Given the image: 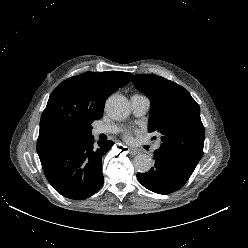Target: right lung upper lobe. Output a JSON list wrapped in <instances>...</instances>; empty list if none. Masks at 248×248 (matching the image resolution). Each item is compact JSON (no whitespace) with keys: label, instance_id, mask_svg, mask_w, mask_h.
<instances>
[{"label":"right lung upper lobe","instance_id":"cb5924a9","mask_svg":"<svg viewBox=\"0 0 248 248\" xmlns=\"http://www.w3.org/2000/svg\"><path fill=\"white\" fill-rule=\"evenodd\" d=\"M131 78V73L121 71L85 72L60 83L41 116L38 155L70 135L91 133L92 122L103 115L106 99Z\"/></svg>","mask_w":248,"mask_h":248}]
</instances>
